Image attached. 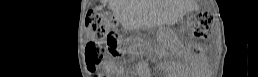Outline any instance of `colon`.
Masks as SVG:
<instances>
[{
	"mask_svg": "<svg viewBox=\"0 0 258 77\" xmlns=\"http://www.w3.org/2000/svg\"><path fill=\"white\" fill-rule=\"evenodd\" d=\"M86 25L90 42L87 45V64L94 70L100 64L105 50L116 53L126 48L127 43L115 32L116 22L112 15L104 10L94 9L87 13ZM212 15L208 12L195 14L188 22L194 36L206 39L211 33Z\"/></svg>",
	"mask_w": 258,
	"mask_h": 77,
	"instance_id": "obj_1",
	"label": "colon"
}]
</instances>
